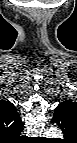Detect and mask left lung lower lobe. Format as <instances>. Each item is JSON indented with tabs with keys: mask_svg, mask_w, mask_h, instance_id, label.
Instances as JSON below:
<instances>
[{
	"mask_svg": "<svg viewBox=\"0 0 77 143\" xmlns=\"http://www.w3.org/2000/svg\"><path fill=\"white\" fill-rule=\"evenodd\" d=\"M75 113V105L72 103H61L57 106L52 118V122L62 125H72L73 117Z\"/></svg>",
	"mask_w": 77,
	"mask_h": 143,
	"instance_id": "0a47b994",
	"label": "left lung lower lobe"
}]
</instances>
